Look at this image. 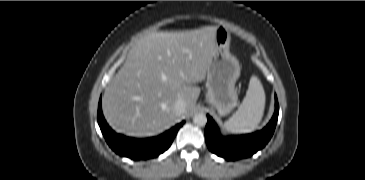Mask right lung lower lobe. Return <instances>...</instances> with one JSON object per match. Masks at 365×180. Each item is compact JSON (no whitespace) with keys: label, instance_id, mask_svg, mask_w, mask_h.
I'll list each match as a JSON object with an SVG mask.
<instances>
[{"label":"right lung lower lobe","instance_id":"right-lung-lower-lobe-1","mask_svg":"<svg viewBox=\"0 0 365 180\" xmlns=\"http://www.w3.org/2000/svg\"><path fill=\"white\" fill-rule=\"evenodd\" d=\"M97 118L102 134L111 149L120 156L133 160L149 159L163 153L170 147L177 131L184 124L183 121L162 135L153 138L135 139L126 137L115 133L105 121L102 113L101 98L98 104Z\"/></svg>","mask_w":365,"mask_h":180}]
</instances>
